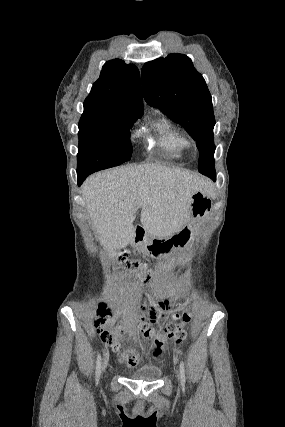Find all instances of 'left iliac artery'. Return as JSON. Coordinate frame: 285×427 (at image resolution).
<instances>
[{"label": "left iliac artery", "mask_w": 285, "mask_h": 427, "mask_svg": "<svg viewBox=\"0 0 285 427\" xmlns=\"http://www.w3.org/2000/svg\"><path fill=\"white\" fill-rule=\"evenodd\" d=\"M180 378H181V383L185 384L186 377H185V367H184L183 361L180 362Z\"/></svg>", "instance_id": "left-iliac-artery-1"}]
</instances>
